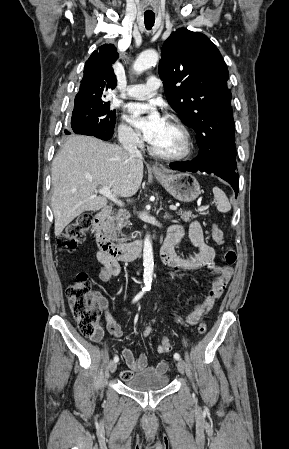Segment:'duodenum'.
Masks as SVG:
<instances>
[{
  "mask_svg": "<svg viewBox=\"0 0 289 449\" xmlns=\"http://www.w3.org/2000/svg\"><path fill=\"white\" fill-rule=\"evenodd\" d=\"M111 213L110 207H104L93 218L91 231L99 251L118 261H130L137 258L144 247L143 240L117 244L109 240L105 235L104 223Z\"/></svg>",
  "mask_w": 289,
  "mask_h": 449,
  "instance_id": "obj_1",
  "label": "duodenum"
}]
</instances>
